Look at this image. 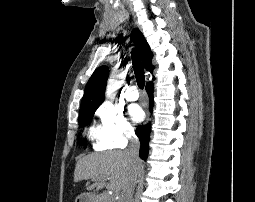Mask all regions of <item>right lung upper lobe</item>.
I'll return each mask as SVG.
<instances>
[{
	"mask_svg": "<svg viewBox=\"0 0 255 202\" xmlns=\"http://www.w3.org/2000/svg\"><path fill=\"white\" fill-rule=\"evenodd\" d=\"M131 39L138 46L145 69L152 72L151 60L153 53L143 34L138 29H134L131 33ZM108 75L109 70L106 66H101L94 71L86 85L80 110L97 109L101 105L105 99L104 93Z\"/></svg>",
	"mask_w": 255,
	"mask_h": 202,
	"instance_id": "right-lung-upper-lobe-1",
	"label": "right lung upper lobe"
}]
</instances>
